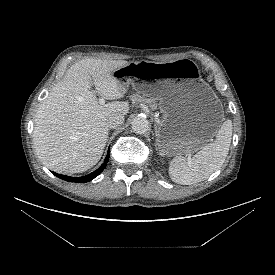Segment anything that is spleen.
Masks as SVG:
<instances>
[{
  "mask_svg": "<svg viewBox=\"0 0 275 275\" xmlns=\"http://www.w3.org/2000/svg\"><path fill=\"white\" fill-rule=\"evenodd\" d=\"M232 139V121L226 120L214 141L205 145L191 159L176 156L169 166V176L175 183L192 185L207 179L224 163Z\"/></svg>",
  "mask_w": 275,
  "mask_h": 275,
  "instance_id": "3e777b00",
  "label": "spleen"
}]
</instances>
